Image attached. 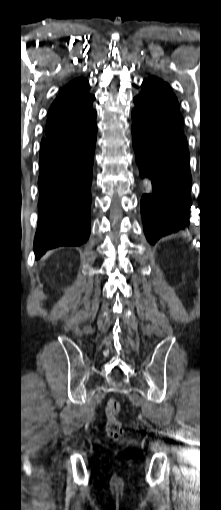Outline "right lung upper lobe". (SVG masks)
Listing matches in <instances>:
<instances>
[{
    "label": "right lung upper lobe",
    "instance_id": "1",
    "mask_svg": "<svg viewBox=\"0 0 221 510\" xmlns=\"http://www.w3.org/2000/svg\"><path fill=\"white\" fill-rule=\"evenodd\" d=\"M89 83L77 78L59 93L48 113L46 138H59L85 128L95 117L92 107L94 95L88 92Z\"/></svg>",
    "mask_w": 221,
    "mask_h": 510
}]
</instances>
